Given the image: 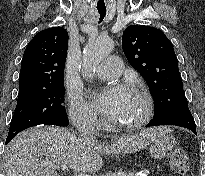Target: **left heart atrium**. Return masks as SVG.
<instances>
[{
	"mask_svg": "<svg viewBox=\"0 0 205 176\" xmlns=\"http://www.w3.org/2000/svg\"><path fill=\"white\" fill-rule=\"evenodd\" d=\"M132 97L129 86H114L94 96L96 105L110 119L116 120Z\"/></svg>",
	"mask_w": 205,
	"mask_h": 176,
	"instance_id": "39dd6f15",
	"label": "left heart atrium"
}]
</instances>
